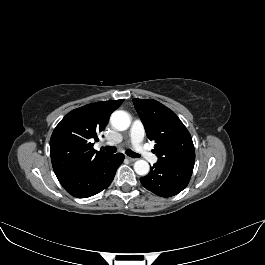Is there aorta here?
Returning <instances> with one entry per match:
<instances>
[{
  "mask_svg": "<svg viewBox=\"0 0 265 265\" xmlns=\"http://www.w3.org/2000/svg\"><path fill=\"white\" fill-rule=\"evenodd\" d=\"M110 121L112 126L118 131H124L128 129L131 124V118L129 114L122 110L113 112ZM134 170L138 175L145 176L148 174L150 166L145 160H137L134 163Z\"/></svg>",
  "mask_w": 265,
  "mask_h": 265,
  "instance_id": "aorta-1",
  "label": "aorta"
}]
</instances>
